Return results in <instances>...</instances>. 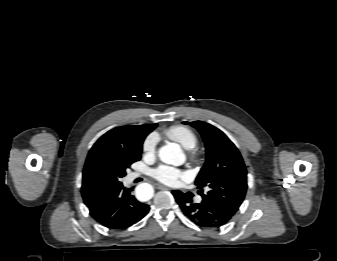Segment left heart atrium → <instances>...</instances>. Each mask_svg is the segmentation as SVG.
Returning a JSON list of instances; mask_svg holds the SVG:
<instances>
[{
    "mask_svg": "<svg viewBox=\"0 0 337 261\" xmlns=\"http://www.w3.org/2000/svg\"><path fill=\"white\" fill-rule=\"evenodd\" d=\"M152 176L162 183L174 185L179 179L185 178L186 174L174 167L161 165L152 171Z\"/></svg>",
    "mask_w": 337,
    "mask_h": 261,
    "instance_id": "1",
    "label": "left heart atrium"
}]
</instances>
